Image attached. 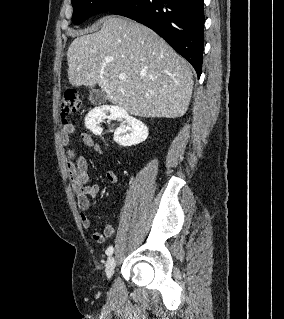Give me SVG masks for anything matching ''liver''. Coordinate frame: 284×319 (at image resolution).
<instances>
[{"label": "liver", "mask_w": 284, "mask_h": 319, "mask_svg": "<svg viewBox=\"0 0 284 319\" xmlns=\"http://www.w3.org/2000/svg\"><path fill=\"white\" fill-rule=\"evenodd\" d=\"M67 61L71 85L98 84L111 103L130 114L177 118L188 109L194 84L190 64L130 19L105 17L99 31L73 40Z\"/></svg>", "instance_id": "liver-1"}]
</instances>
